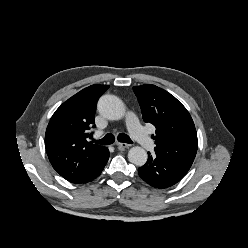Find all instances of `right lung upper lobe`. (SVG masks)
I'll return each instance as SVG.
<instances>
[{"mask_svg": "<svg viewBox=\"0 0 248 248\" xmlns=\"http://www.w3.org/2000/svg\"><path fill=\"white\" fill-rule=\"evenodd\" d=\"M108 88L91 85L81 90L55 111L47 126L45 148L49 161L69 182L85 177L107 152L106 147L92 145L87 137L90 127H95L96 102Z\"/></svg>", "mask_w": 248, "mask_h": 248, "instance_id": "1", "label": "right lung upper lobe"}]
</instances>
